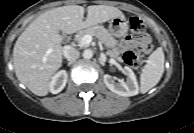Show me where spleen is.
<instances>
[{
  "instance_id": "obj_1",
  "label": "spleen",
  "mask_w": 194,
  "mask_h": 133,
  "mask_svg": "<svg viewBox=\"0 0 194 133\" xmlns=\"http://www.w3.org/2000/svg\"><path fill=\"white\" fill-rule=\"evenodd\" d=\"M164 52L161 47L157 48L148 59L140 75V91L148 92L160 81L164 72Z\"/></svg>"
}]
</instances>
